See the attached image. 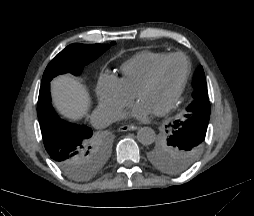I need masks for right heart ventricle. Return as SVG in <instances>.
<instances>
[{
  "label": "right heart ventricle",
  "mask_w": 254,
  "mask_h": 216,
  "mask_svg": "<svg viewBox=\"0 0 254 216\" xmlns=\"http://www.w3.org/2000/svg\"><path fill=\"white\" fill-rule=\"evenodd\" d=\"M167 55L165 52L151 50L135 54L121 65V76L118 81L126 91L135 94L154 66Z\"/></svg>",
  "instance_id": "obj_1"
}]
</instances>
